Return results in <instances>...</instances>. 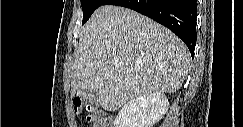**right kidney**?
Here are the masks:
<instances>
[{"instance_id": "obj_1", "label": "right kidney", "mask_w": 243, "mask_h": 127, "mask_svg": "<svg viewBox=\"0 0 243 127\" xmlns=\"http://www.w3.org/2000/svg\"><path fill=\"white\" fill-rule=\"evenodd\" d=\"M168 108L169 101L161 92L138 96L120 109L114 127H153Z\"/></svg>"}]
</instances>
